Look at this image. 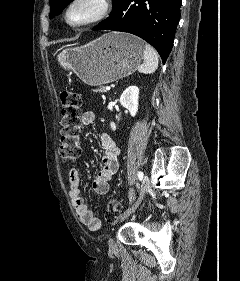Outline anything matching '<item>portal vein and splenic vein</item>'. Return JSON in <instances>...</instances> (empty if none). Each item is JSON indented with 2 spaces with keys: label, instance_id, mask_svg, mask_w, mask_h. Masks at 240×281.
<instances>
[{
  "label": "portal vein and splenic vein",
  "instance_id": "portal-vein-and-splenic-vein-1",
  "mask_svg": "<svg viewBox=\"0 0 240 281\" xmlns=\"http://www.w3.org/2000/svg\"><path fill=\"white\" fill-rule=\"evenodd\" d=\"M110 89H111L110 86L105 87V90H106V91H109Z\"/></svg>",
  "mask_w": 240,
  "mask_h": 281
}]
</instances>
